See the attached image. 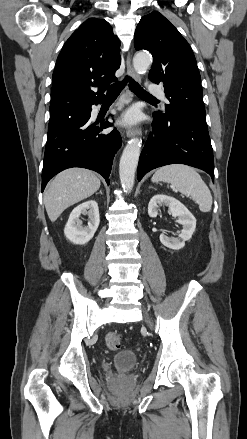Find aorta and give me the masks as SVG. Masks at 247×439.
Segmentation results:
<instances>
[{
  "mask_svg": "<svg viewBox=\"0 0 247 439\" xmlns=\"http://www.w3.org/2000/svg\"><path fill=\"white\" fill-rule=\"evenodd\" d=\"M151 63L152 57L147 53H137L133 58V66L138 74L146 73ZM140 152L141 141L138 138L131 139L123 150L119 163V176L125 192H130L134 186Z\"/></svg>",
  "mask_w": 247,
  "mask_h": 439,
  "instance_id": "1",
  "label": "aorta"
}]
</instances>
